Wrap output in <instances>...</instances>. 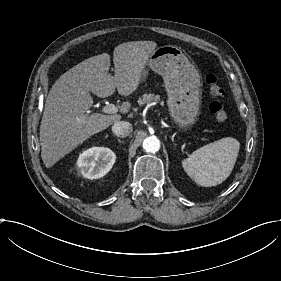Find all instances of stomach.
<instances>
[{"mask_svg":"<svg viewBox=\"0 0 281 281\" xmlns=\"http://www.w3.org/2000/svg\"><path fill=\"white\" fill-rule=\"evenodd\" d=\"M148 66L164 80L168 95L167 105L179 128L193 125L200 114L201 74L186 54L177 46L164 45L149 56ZM148 71L144 70V80Z\"/></svg>","mask_w":281,"mask_h":281,"instance_id":"obj_1","label":"stomach"}]
</instances>
